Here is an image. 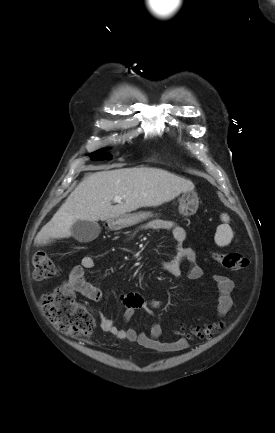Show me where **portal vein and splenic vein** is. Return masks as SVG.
Instances as JSON below:
<instances>
[{
  "instance_id": "1",
  "label": "portal vein and splenic vein",
  "mask_w": 275,
  "mask_h": 433,
  "mask_svg": "<svg viewBox=\"0 0 275 433\" xmlns=\"http://www.w3.org/2000/svg\"><path fill=\"white\" fill-rule=\"evenodd\" d=\"M113 201H114L115 203H121L122 198H121L120 196H116V197L113 199Z\"/></svg>"
}]
</instances>
